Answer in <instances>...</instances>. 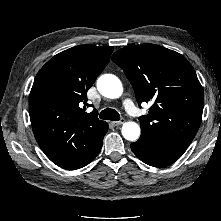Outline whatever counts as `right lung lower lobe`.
<instances>
[{"mask_svg":"<svg viewBox=\"0 0 221 221\" xmlns=\"http://www.w3.org/2000/svg\"><path fill=\"white\" fill-rule=\"evenodd\" d=\"M108 131V124L106 123V125L104 126V128L101 130L100 134L98 135L97 139H96V145H95V149L93 151V154L91 155V157L82 165V167L86 166L87 164H89L100 152L101 147H102V143H103V138L106 134V132ZM80 167V168H82Z\"/></svg>","mask_w":221,"mask_h":221,"instance_id":"obj_1","label":"right lung lower lobe"}]
</instances>
